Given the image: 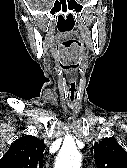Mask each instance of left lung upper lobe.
Segmentation results:
<instances>
[{"mask_svg":"<svg viewBox=\"0 0 127 168\" xmlns=\"http://www.w3.org/2000/svg\"><path fill=\"white\" fill-rule=\"evenodd\" d=\"M93 148L97 168H127V152L114 138H104Z\"/></svg>","mask_w":127,"mask_h":168,"instance_id":"obj_1","label":"left lung upper lobe"}]
</instances>
